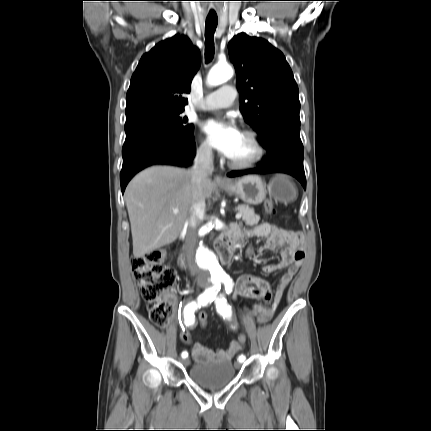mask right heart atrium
<instances>
[{
  "label": "right heart atrium",
  "mask_w": 431,
  "mask_h": 431,
  "mask_svg": "<svg viewBox=\"0 0 431 431\" xmlns=\"http://www.w3.org/2000/svg\"><path fill=\"white\" fill-rule=\"evenodd\" d=\"M197 155L201 160L205 162L211 161L213 157V152H212L211 146L207 141H202L200 143V145L197 148Z\"/></svg>",
  "instance_id": "obj_1"
}]
</instances>
